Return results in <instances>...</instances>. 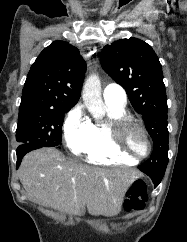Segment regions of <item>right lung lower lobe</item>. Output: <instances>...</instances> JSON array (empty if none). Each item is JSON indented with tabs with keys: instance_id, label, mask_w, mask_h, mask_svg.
Segmentation results:
<instances>
[{
	"instance_id": "1",
	"label": "right lung lower lobe",
	"mask_w": 187,
	"mask_h": 242,
	"mask_svg": "<svg viewBox=\"0 0 187 242\" xmlns=\"http://www.w3.org/2000/svg\"><path fill=\"white\" fill-rule=\"evenodd\" d=\"M42 147H46V146H43V145H40V144H34V143H25V144H21L18 148H17V151H16V154H17V168L19 167L21 161H22V158L23 156L32 151V150H35V149H39V148H42Z\"/></svg>"
}]
</instances>
